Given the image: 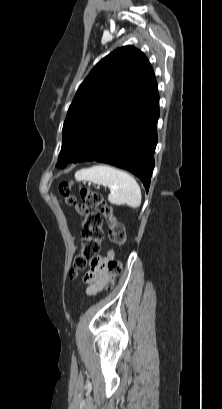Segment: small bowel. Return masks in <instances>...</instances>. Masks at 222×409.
Returning a JSON list of instances; mask_svg holds the SVG:
<instances>
[{"label": "small bowel", "instance_id": "1", "mask_svg": "<svg viewBox=\"0 0 222 409\" xmlns=\"http://www.w3.org/2000/svg\"><path fill=\"white\" fill-rule=\"evenodd\" d=\"M113 251L110 249L107 256H90V270L84 276L86 283V294L93 296L98 294L106 286L109 280L108 270L110 269V260L113 259Z\"/></svg>", "mask_w": 222, "mask_h": 409}]
</instances>
